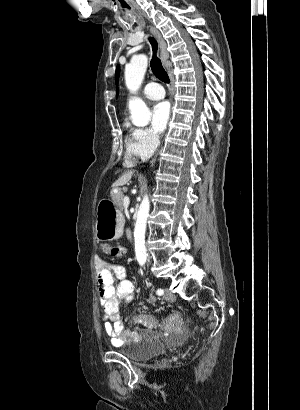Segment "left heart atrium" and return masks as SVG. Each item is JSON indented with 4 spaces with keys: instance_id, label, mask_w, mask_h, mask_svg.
<instances>
[{
    "instance_id": "obj_1",
    "label": "left heart atrium",
    "mask_w": 300,
    "mask_h": 410,
    "mask_svg": "<svg viewBox=\"0 0 300 410\" xmlns=\"http://www.w3.org/2000/svg\"><path fill=\"white\" fill-rule=\"evenodd\" d=\"M171 109L168 102L157 103L152 110V126L158 133H163L170 120Z\"/></svg>"
}]
</instances>
